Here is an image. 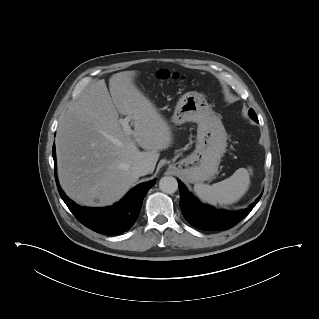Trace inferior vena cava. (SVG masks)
<instances>
[{"instance_id": "1", "label": "inferior vena cava", "mask_w": 319, "mask_h": 319, "mask_svg": "<svg viewBox=\"0 0 319 319\" xmlns=\"http://www.w3.org/2000/svg\"><path fill=\"white\" fill-rule=\"evenodd\" d=\"M131 170L137 176H144L150 172V166L147 162H138L131 167Z\"/></svg>"}]
</instances>
